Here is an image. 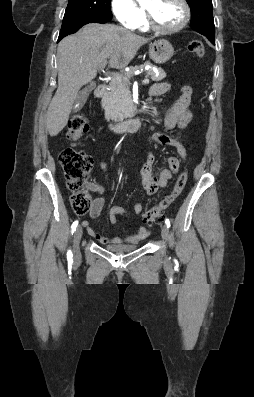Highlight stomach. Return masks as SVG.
Listing matches in <instances>:
<instances>
[{
    "label": "stomach",
    "mask_w": 254,
    "mask_h": 397,
    "mask_svg": "<svg viewBox=\"0 0 254 397\" xmlns=\"http://www.w3.org/2000/svg\"><path fill=\"white\" fill-rule=\"evenodd\" d=\"M173 54V46L165 39L154 41L149 45V56L157 64L166 63Z\"/></svg>",
    "instance_id": "0dacf381"
}]
</instances>
